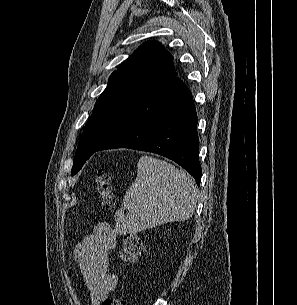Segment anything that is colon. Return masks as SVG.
<instances>
[{
    "mask_svg": "<svg viewBox=\"0 0 297 305\" xmlns=\"http://www.w3.org/2000/svg\"><path fill=\"white\" fill-rule=\"evenodd\" d=\"M96 192L101 200V204L106 208H113L115 205V197L113 194L112 184L108 172L104 169L98 170L95 176ZM144 244L137 235H127L120 250V257L123 261L135 263L142 256ZM102 305H125V302L118 297H108Z\"/></svg>",
    "mask_w": 297,
    "mask_h": 305,
    "instance_id": "5ec220e1",
    "label": "colon"
}]
</instances>
